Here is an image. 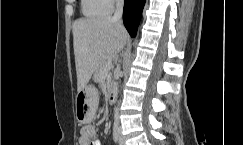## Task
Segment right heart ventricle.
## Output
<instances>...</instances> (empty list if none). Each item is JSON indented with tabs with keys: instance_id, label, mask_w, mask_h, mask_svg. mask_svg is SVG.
<instances>
[{
	"instance_id": "e07e8e85",
	"label": "right heart ventricle",
	"mask_w": 243,
	"mask_h": 145,
	"mask_svg": "<svg viewBox=\"0 0 243 145\" xmlns=\"http://www.w3.org/2000/svg\"><path fill=\"white\" fill-rule=\"evenodd\" d=\"M81 9L82 13L90 18L108 15L111 10L104 0H81Z\"/></svg>"
}]
</instances>
